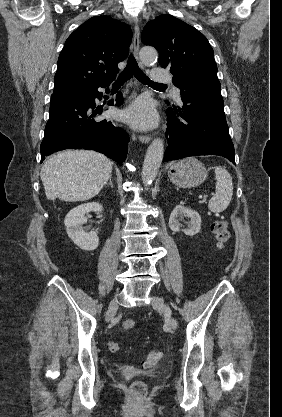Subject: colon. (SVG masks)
Wrapping results in <instances>:
<instances>
[{
    "label": "colon",
    "instance_id": "1",
    "mask_svg": "<svg viewBox=\"0 0 282 417\" xmlns=\"http://www.w3.org/2000/svg\"><path fill=\"white\" fill-rule=\"evenodd\" d=\"M211 231L218 244L224 245L229 240L227 224L224 221H216L211 225ZM122 330H132L135 328V321L131 318L125 319L122 323ZM120 346L117 342L112 341L109 344L111 353H117ZM162 353L159 350H150L144 359V366L154 368L161 360ZM149 384H145L144 379H133L130 390L131 403H148L149 402Z\"/></svg>",
    "mask_w": 282,
    "mask_h": 417
}]
</instances>
